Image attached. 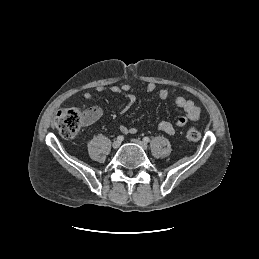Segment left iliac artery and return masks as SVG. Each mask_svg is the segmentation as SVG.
I'll use <instances>...</instances> for the list:
<instances>
[{
	"label": "left iliac artery",
	"mask_w": 259,
	"mask_h": 259,
	"mask_svg": "<svg viewBox=\"0 0 259 259\" xmlns=\"http://www.w3.org/2000/svg\"><path fill=\"white\" fill-rule=\"evenodd\" d=\"M143 141H144L145 143H148V142L150 141V139H149V137H144V138H143Z\"/></svg>",
	"instance_id": "obj_1"
}]
</instances>
